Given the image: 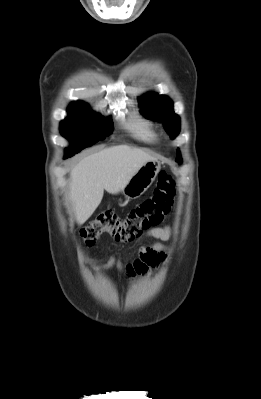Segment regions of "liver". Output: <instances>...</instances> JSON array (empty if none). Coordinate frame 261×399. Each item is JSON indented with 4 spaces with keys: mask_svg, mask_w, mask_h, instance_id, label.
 I'll return each mask as SVG.
<instances>
[{
    "mask_svg": "<svg viewBox=\"0 0 261 399\" xmlns=\"http://www.w3.org/2000/svg\"><path fill=\"white\" fill-rule=\"evenodd\" d=\"M157 160L128 145H116L84 157L70 171V198L76 220L84 224L101 203L104 190L118 194L139 168Z\"/></svg>",
    "mask_w": 261,
    "mask_h": 399,
    "instance_id": "liver-1",
    "label": "liver"
}]
</instances>
